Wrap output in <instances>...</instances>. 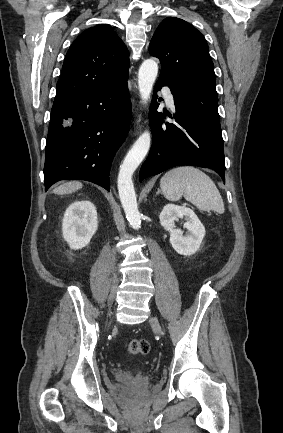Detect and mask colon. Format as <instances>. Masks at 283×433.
Returning a JSON list of instances; mask_svg holds the SVG:
<instances>
[{
	"label": "colon",
	"mask_w": 283,
	"mask_h": 433,
	"mask_svg": "<svg viewBox=\"0 0 283 433\" xmlns=\"http://www.w3.org/2000/svg\"><path fill=\"white\" fill-rule=\"evenodd\" d=\"M149 350L150 344L145 339H131L124 346V352L128 356L145 355Z\"/></svg>",
	"instance_id": "colon-1"
}]
</instances>
